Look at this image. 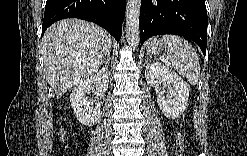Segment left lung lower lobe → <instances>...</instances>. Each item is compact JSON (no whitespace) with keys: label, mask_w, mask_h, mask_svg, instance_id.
<instances>
[{"label":"left lung lower lobe","mask_w":247,"mask_h":156,"mask_svg":"<svg viewBox=\"0 0 247 156\" xmlns=\"http://www.w3.org/2000/svg\"><path fill=\"white\" fill-rule=\"evenodd\" d=\"M207 11L204 0H142L140 42L155 35L176 34L207 47Z\"/></svg>","instance_id":"left-lung-lower-lobe-1"}]
</instances>
